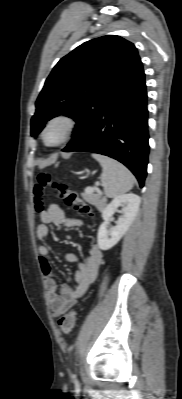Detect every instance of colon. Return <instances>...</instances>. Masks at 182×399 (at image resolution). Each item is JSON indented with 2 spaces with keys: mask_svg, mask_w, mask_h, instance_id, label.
Here are the masks:
<instances>
[{
  "mask_svg": "<svg viewBox=\"0 0 182 399\" xmlns=\"http://www.w3.org/2000/svg\"><path fill=\"white\" fill-rule=\"evenodd\" d=\"M48 189L54 190L66 205L75 208L79 213L94 216L91 207L75 192L71 191L67 184L56 181L49 173L41 172L37 175L33 189L34 203L38 211H42L45 203L46 192ZM77 314L70 311L58 319L60 330L69 334L76 323Z\"/></svg>",
  "mask_w": 182,
  "mask_h": 399,
  "instance_id": "obj_1",
  "label": "colon"
}]
</instances>
